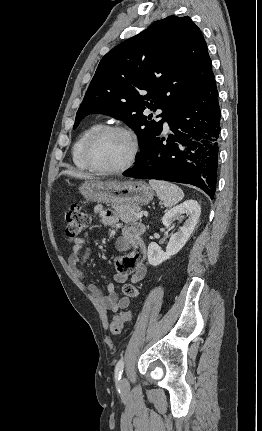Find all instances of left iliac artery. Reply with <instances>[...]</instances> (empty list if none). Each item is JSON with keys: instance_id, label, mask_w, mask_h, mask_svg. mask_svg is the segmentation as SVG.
I'll list each match as a JSON object with an SVG mask.
<instances>
[{"instance_id": "left-iliac-artery-1", "label": "left iliac artery", "mask_w": 262, "mask_h": 431, "mask_svg": "<svg viewBox=\"0 0 262 431\" xmlns=\"http://www.w3.org/2000/svg\"><path fill=\"white\" fill-rule=\"evenodd\" d=\"M124 368V360L121 359L118 361L115 367V379L116 381H119L121 379L122 373Z\"/></svg>"}]
</instances>
